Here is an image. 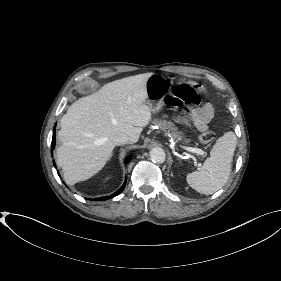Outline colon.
Wrapping results in <instances>:
<instances>
[{
	"mask_svg": "<svg viewBox=\"0 0 281 281\" xmlns=\"http://www.w3.org/2000/svg\"><path fill=\"white\" fill-rule=\"evenodd\" d=\"M205 94V89L200 83L178 84L174 89V96L167 101L172 107H181L183 105H195L200 102L201 95ZM214 139V133L206 131L201 134L202 143H210Z\"/></svg>",
	"mask_w": 281,
	"mask_h": 281,
	"instance_id": "5ec220e1",
	"label": "colon"
}]
</instances>
